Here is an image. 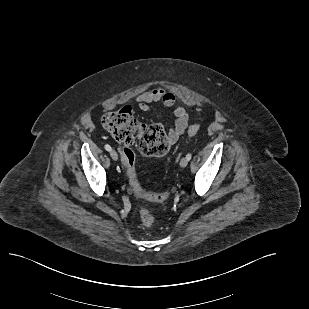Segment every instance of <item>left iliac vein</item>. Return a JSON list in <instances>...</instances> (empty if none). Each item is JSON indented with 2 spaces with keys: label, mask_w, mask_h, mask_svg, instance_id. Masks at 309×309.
Listing matches in <instances>:
<instances>
[{
  "label": "left iliac vein",
  "mask_w": 309,
  "mask_h": 309,
  "mask_svg": "<svg viewBox=\"0 0 309 309\" xmlns=\"http://www.w3.org/2000/svg\"><path fill=\"white\" fill-rule=\"evenodd\" d=\"M188 165V160H187V158L186 157H184V158H182L181 160H180V166L181 167H186Z\"/></svg>",
  "instance_id": "1"
}]
</instances>
